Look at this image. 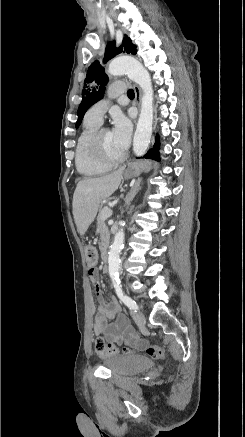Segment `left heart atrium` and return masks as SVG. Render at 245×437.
Returning <instances> with one entry per match:
<instances>
[{"label":"left heart atrium","instance_id":"1","mask_svg":"<svg viewBox=\"0 0 245 437\" xmlns=\"http://www.w3.org/2000/svg\"><path fill=\"white\" fill-rule=\"evenodd\" d=\"M132 126L130 121L121 113L113 116V128L111 130L117 147L125 152L130 144Z\"/></svg>","mask_w":245,"mask_h":437}]
</instances>
